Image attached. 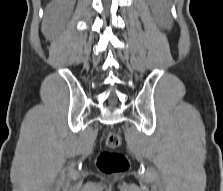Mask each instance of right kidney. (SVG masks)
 <instances>
[{"instance_id": "1", "label": "right kidney", "mask_w": 223, "mask_h": 191, "mask_svg": "<svg viewBox=\"0 0 223 191\" xmlns=\"http://www.w3.org/2000/svg\"><path fill=\"white\" fill-rule=\"evenodd\" d=\"M73 4L74 1L72 0H54L49 4L45 12V18L42 26L43 33L47 38H51L53 36L60 12L65 9L71 10Z\"/></svg>"}]
</instances>
